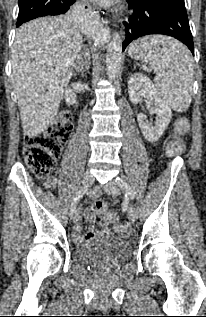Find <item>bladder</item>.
<instances>
[{
	"mask_svg": "<svg viewBox=\"0 0 206 317\" xmlns=\"http://www.w3.org/2000/svg\"><path fill=\"white\" fill-rule=\"evenodd\" d=\"M131 253L128 241L117 237H100L76 246L73 257L84 265H115L127 260Z\"/></svg>",
	"mask_w": 206,
	"mask_h": 317,
	"instance_id": "31cf9c89",
	"label": "bladder"
}]
</instances>
